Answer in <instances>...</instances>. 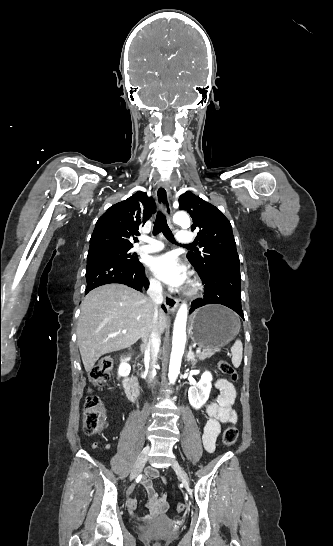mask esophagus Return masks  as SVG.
I'll use <instances>...</instances> for the list:
<instances>
[{
  "instance_id": "34e87169",
  "label": "esophagus",
  "mask_w": 333,
  "mask_h": 546,
  "mask_svg": "<svg viewBox=\"0 0 333 546\" xmlns=\"http://www.w3.org/2000/svg\"><path fill=\"white\" fill-rule=\"evenodd\" d=\"M156 203L166 212L167 220L172 226V209L170 204V190L169 186L165 183H160L156 190ZM180 303V300L174 298L170 294L165 293L164 304L170 313H174Z\"/></svg>"
}]
</instances>
